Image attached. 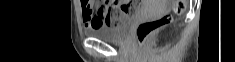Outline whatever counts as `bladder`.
Masks as SVG:
<instances>
[{
    "label": "bladder",
    "instance_id": "obj_1",
    "mask_svg": "<svg viewBox=\"0 0 235 62\" xmlns=\"http://www.w3.org/2000/svg\"><path fill=\"white\" fill-rule=\"evenodd\" d=\"M134 19L135 14H124L116 25H105L97 29H90L87 34L105 42L119 43L127 37Z\"/></svg>",
    "mask_w": 235,
    "mask_h": 62
}]
</instances>
